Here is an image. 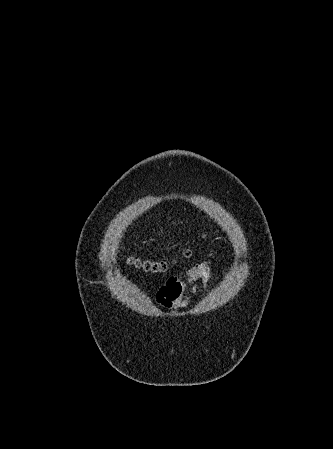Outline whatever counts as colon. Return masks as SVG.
<instances>
[{
    "instance_id": "1",
    "label": "colon",
    "mask_w": 333,
    "mask_h": 449,
    "mask_svg": "<svg viewBox=\"0 0 333 449\" xmlns=\"http://www.w3.org/2000/svg\"><path fill=\"white\" fill-rule=\"evenodd\" d=\"M191 254V251L189 249H185L183 251V255L186 257H189ZM129 263L134 265L137 268H141L142 270L150 273H159L164 272L167 269V263L159 260H142L139 258H130Z\"/></svg>"
}]
</instances>
